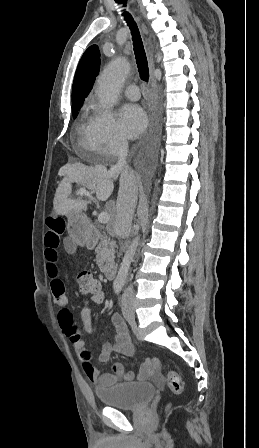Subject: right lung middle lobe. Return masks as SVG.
I'll list each match as a JSON object with an SVG mask.
<instances>
[{
  "mask_svg": "<svg viewBox=\"0 0 259 448\" xmlns=\"http://www.w3.org/2000/svg\"><path fill=\"white\" fill-rule=\"evenodd\" d=\"M80 110V108L78 109H73L72 113H73V117L75 118L77 116L78 111Z\"/></svg>",
  "mask_w": 259,
  "mask_h": 448,
  "instance_id": "dd1d6c3e",
  "label": "right lung middle lobe"
}]
</instances>
